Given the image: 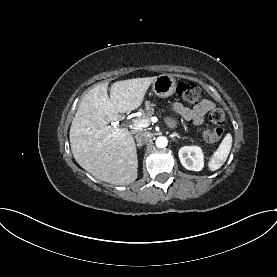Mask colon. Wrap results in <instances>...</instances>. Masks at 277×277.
<instances>
[{
    "label": "colon",
    "mask_w": 277,
    "mask_h": 277,
    "mask_svg": "<svg viewBox=\"0 0 277 277\" xmlns=\"http://www.w3.org/2000/svg\"><path fill=\"white\" fill-rule=\"evenodd\" d=\"M178 96L187 104L196 103L201 95L202 90L200 86L193 82H181L177 86ZM209 120L212 127H205L202 130V139L206 143H213L218 140L222 133V126L225 123V113L221 108H215L209 114Z\"/></svg>",
    "instance_id": "5ec220e1"
}]
</instances>
